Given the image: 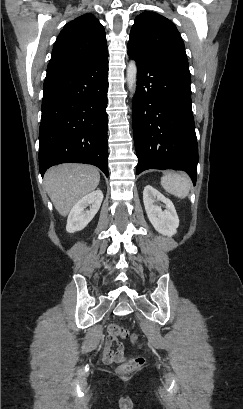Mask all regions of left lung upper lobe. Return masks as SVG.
Instances as JSON below:
<instances>
[{
	"label": "left lung upper lobe",
	"instance_id": "5c2ea615",
	"mask_svg": "<svg viewBox=\"0 0 243 409\" xmlns=\"http://www.w3.org/2000/svg\"><path fill=\"white\" fill-rule=\"evenodd\" d=\"M128 55L138 62L168 56L187 58L175 24L160 14L148 11L135 18L128 42Z\"/></svg>",
	"mask_w": 243,
	"mask_h": 409
}]
</instances>
